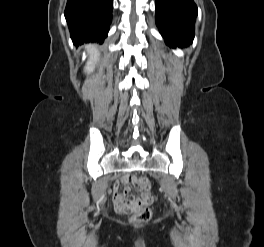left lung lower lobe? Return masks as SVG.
Segmentation results:
<instances>
[{"label": "left lung lower lobe", "mask_w": 264, "mask_h": 247, "mask_svg": "<svg viewBox=\"0 0 264 247\" xmlns=\"http://www.w3.org/2000/svg\"><path fill=\"white\" fill-rule=\"evenodd\" d=\"M156 25L170 47H188L194 38L197 7L193 0H156Z\"/></svg>", "instance_id": "obj_1"}]
</instances>
